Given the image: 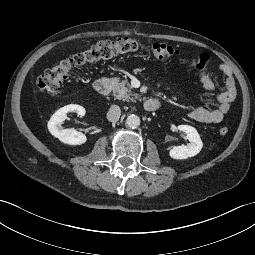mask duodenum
<instances>
[{"label":"duodenum","instance_id":"obj_1","mask_svg":"<svg viewBox=\"0 0 255 255\" xmlns=\"http://www.w3.org/2000/svg\"><path fill=\"white\" fill-rule=\"evenodd\" d=\"M95 90L100 95H108L111 91V80L108 77H100L95 81ZM159 100L156 98H150L144 101V109L146 111H155L159 107Z\"/></svg>","mask_w":255,"mask_h":255}]
</instances>
